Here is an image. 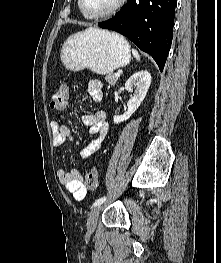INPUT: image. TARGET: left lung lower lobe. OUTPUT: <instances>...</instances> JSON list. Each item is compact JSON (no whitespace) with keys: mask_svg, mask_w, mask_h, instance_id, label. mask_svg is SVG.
Masks as SVG:
<instances>
[{"mask_svg":"<svg viewBox=\"0 0 221 263\" xmlns=\"http://www.w3.org/2000/svg\"><path fill=\"white\" fill-rule=\"evenodd\" d=\"M176 0H128L115 17L98 23L150 54L162 71L171 47Z\"/></svg>","mask_w":221,"mask_h":263,"instance_id":"0a47b994","label":"left lung lower lobe"}]
</instances>
